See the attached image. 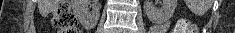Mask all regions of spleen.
<instances>
[{"mask_svg": "<svg viewBox=\"0 0 235 33\" xmlns=\"http://www.w3.org/2000/svg\"><path fill=\"white\" fill-rule=\"evenodd\" d=\"M206 9H207V7L204 6V7H203V10H206Z\"/></svg>", "mask_w": 235, "mask_h": 33, "instance_id": "spleen-1", "label": "spleen"}]
</instances>
